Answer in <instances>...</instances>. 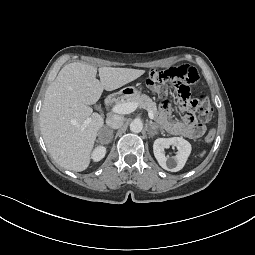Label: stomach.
I'll use <instances>...</instances> for the list:
<instances>
[{"label": "stomach", "instance_id": "stomach-1", "mask_svg": "<svg viewBox=\"0 0 255 255\" xmlns=\"http://www.w3.org/2000/svg\"><path fill=\"white\" fill-rule=\"evenodd\" d=\"M120 93L123 95V97L128 98L138 94L139 91L134 87H126Z\"/></svg>", "mask_w": 255, "mask_h": 255}]
</instances>
